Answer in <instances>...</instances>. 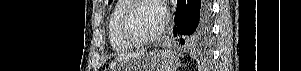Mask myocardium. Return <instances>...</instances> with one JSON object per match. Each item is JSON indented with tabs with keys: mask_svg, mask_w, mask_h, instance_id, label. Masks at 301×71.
Wrapping results in <instances>:
<instances>
[{
	"mask_svg": "<svg viewBox=\"0 0 301 71\" xmlns=\"http://www.w3.org/2000/svg\"><path fill=\"white\" fill-rule=\"evenodd\" d=\"M142 2H151L153 4H156L157 6H160L159 2L155 1V0H130V1H128L125 8L123 9L121 16H120V21H119V28H120V33H121L122 37L134 46H144V45L152 44V43L158 41L164 34V32L166 30V25H167V18H166L165 21L163 22L161 28L154 35L145 37V38H140V37L136 36L130 28L129 17H130L131 11L139 3H142Z\"/></svg>",
	"mask_w": 301,
	"mask_h": 71,
	"instance_id": "obj_1",
	"label": "myocardium"
}]
</instances>
